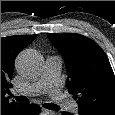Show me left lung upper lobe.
I'll return each instance as SVG.
<instances>
[{
  "mask_svg": "<svg viewBox=\"0 0 115 115\" xmlns=\"http://www.w3.org/2000/svg\"><path fill=\"white\" fill-rule=\"evenodd\" d=\"M47 36L64 58L79 115H115V76L100 46L76 33Z\"/></svg>",
  "mask_w": 115,
  "mask_h": 115,
  "instance_id": "5c2ea615",
  "label": "left lung upper lobe"
}]
</instances>
